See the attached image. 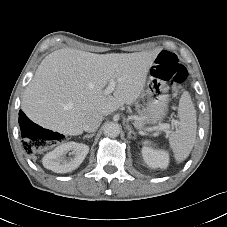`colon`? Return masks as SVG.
<instances>
[{
    "mask_svg": "<svg viewBox=\"0 0 227 227\" xmlns=\"http://www.w3.org/2000/svg\"><path fill=\"white\" fill-rule=\"evenodd\" d=\"M152 74L169 83L173 92L176 94L180 86L187 78L188 72L186 67L171 52H161L154 63ZM51 133L38 127L28 129L27 140L23 143V148L27 153H33L44 149L47 146Z\"/></svg>",
    "mask_w": 227,
    "mask_h": 227,
    "instance_id": "obj_1",
    "label": "colon"
}]
</instances>
